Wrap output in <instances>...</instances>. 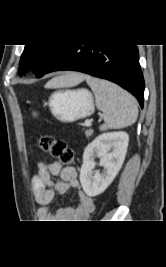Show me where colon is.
Wrapping results in <instances>:
<instances>
[{
  "mask_svg": "<svg viewBox=\"0 0 166 267\" xmlns=\"http://www.w3.org/2000/svg\"><path fill=\"white\" fill-rule=\"evenodd\" d=\"M37 144L43 151L49 152L52 156L57 157L61 162L69 166L74 162V152L62 141L54 139L52 136H41Z\"/></svg>",
  "mask_w": 166,
  "mask_h": 267,
  "instance_id": "colon-1",
  "label": "colon"
}]
</instances>
